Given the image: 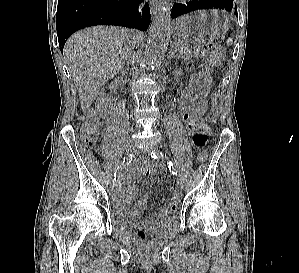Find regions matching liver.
Wrapping results in <instances>:
<instances>
[{"label": "liver", "mask_w": 299, "mask_h": 273, "mask_svg": "<svg viewBox=\"0 0 299 273\" xmlns=\"http://www.w3.org/2000/svg\"><path fill=\"white\" fill-rule=\"evenodd\" d=\"M140 39L138 32L104 26L78 31L68 39L64 54L83 110L92 104L107 81L119 73L130 45Z\"/></svg>", "instance_id": "obj_1"}]
</instances>
